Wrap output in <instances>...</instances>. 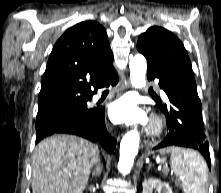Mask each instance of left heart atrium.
<instances>
[{
  "instance_id": "left-heart-atrium-1",
  "label": "left heart atrium",
  "mask_w": 221,
  "mask_h": 193,
  "mask_svg": "<svg viewBox=\"0 0 221 193\" xmlns=\"http://www.w3.org/2000/svg\"><path fill=\"white\" fill-rule=\"evenodd\" d=\"M108 116L115 123L136 124L145 123V112L131 96H123L108 106Z\"/></svg>"
}]
</instances>
